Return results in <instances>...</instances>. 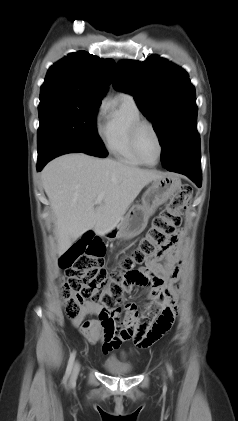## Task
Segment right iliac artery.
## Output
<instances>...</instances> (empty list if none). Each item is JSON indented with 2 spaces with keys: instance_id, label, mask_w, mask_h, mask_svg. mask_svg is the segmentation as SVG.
<instances>
[{
  "instance_id": "82829eb1",
  "label": "right iliac artery",
  "mask_w": 238,
  "mask_h": 421,
  "mask_svg": "<svg viewBox=\"0 0 238 421\" xmlns=\"http://www.w3.org/2000/svg\"><path fill=\"white\" fill-rule=\"evenodd\" d=\"M75 356H76L75 352H72L71 355H70L68 365H67V368H66V372H65V376H64V379H63L64 383L67 381L69 375L71 374V371H72V368H73V363H74V360H75Z\"/></svg>"
}]
</instances>
